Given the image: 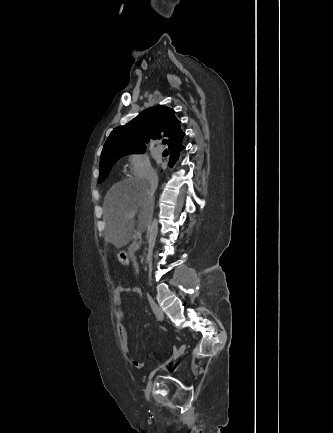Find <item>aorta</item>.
I'll return each mask as SVG.
<instances>
[{
	"instance_id": "1",
	"label": "aorta",
	"mask_w": 333,
	"mask_h": 433,
	"mask_svg": "<svg viewBox=\"0 0 333 433\" xmlns=\"http://www.w3.org/2000/svg\"><path fill=\"white\" fill-rule=\"evenodd\" d=\"M158 234V219L154 218L148 227V249L147 258H151L153 254V249L155 246L156 238Z\"/></svg>"
}]
</instances>
